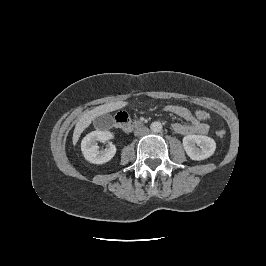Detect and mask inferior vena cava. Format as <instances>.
Here are the masks:
<instances>
[{"instance_id": "602c4592", "label": "inferior vena cava", "mask_w": 266, "mask_h": 266, "mask_svg": "<svg viewBox=\"0 0 266 266\" xmlns=\"http://www.w3.org/2000/svg\"><path fill=\"white\" fill-rule=\"evenodd\" d=\"M149 132V129L147 127H140L135 130L134 134L135 136L145 135Z\"/></svg>"}]
</instances>
